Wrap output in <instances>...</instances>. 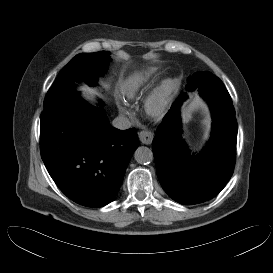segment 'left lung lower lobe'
Instances as JSON below:
<instances>
[{"mask_svg":"<svg viewBox=\"0 0 273 273\" xmlns=\"http://www.w3.org/2000/svg\"><path fill=\"white\" fill-rule=\"evenodd\" d=\"M196 89L208 102L213 118L204 151L191 156L182 139L179 107L186 93L172 104L152 143L158 179L168 196L183 205L214 198L230 180L236 162L237 122L228 91L210 72L202 76Z\"/></svg>","mask_w":273,"mask_h":273,"instance_id":"0a47b994","label":"left lung lower lobe"}]
</instances>
